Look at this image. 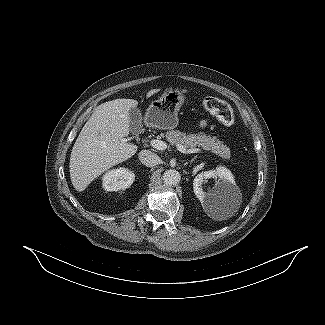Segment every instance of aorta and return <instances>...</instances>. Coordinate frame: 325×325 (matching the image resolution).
Instances as JSON below:
<instances>
[{"mask_svg": "<svg viewBox=\"0 0 325 325\" xmlns=\"http://www.w3.org/2000/svg\"><path fill=\"white\" fill-rule=\"evenodd\" d=\"M181 180V175L174 169L166 170L163 173V181L166 185H177Z\"/></svg>", "mask_w": 325, "mask_h": 325, "instance_id": "aorta-1", "label": "aorta"}]
</instances>
